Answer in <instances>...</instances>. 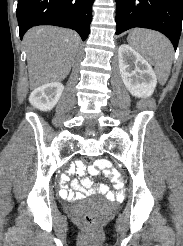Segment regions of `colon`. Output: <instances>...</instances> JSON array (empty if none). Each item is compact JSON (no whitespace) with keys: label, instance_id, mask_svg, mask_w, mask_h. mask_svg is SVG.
Here are the masks:
<instances>
[{"label":"colon","instance_id":"1","mask_svg":"<svg viewBox=\"0 0 183 246\" xmlns=\"http://www.w3.org/2000/svg\"><path fill=\"white\" fill-rule=\"evenodd\" d=\"M81 162H83V165H92V162H95V157L94 155H85V157H81ZM80 219L82 223L90 228H94L98 223V216L91 211L82 212Z\"/></svg>","mask_w":183,"mask_h":246}]
</instances>
